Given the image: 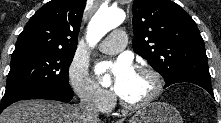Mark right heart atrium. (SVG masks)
<instances>
[{"label": "right heart atrium", "mask_w": 221, "mask_h": 123, "mask_svg": "<svg viewBox=\"0 0 221 123\" xmlns=\"http://www.w3.org/2000/svg\"><path fill=\"white\" fill-rule=\"evenodd\" d=\"M68 78L71 88L81 101L101 111L111 109L114 102L113 96L91 79L82 64L74 61L70 65Z\"/></svg>", "instance_id": "1"}]
</instances>
